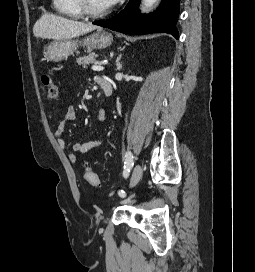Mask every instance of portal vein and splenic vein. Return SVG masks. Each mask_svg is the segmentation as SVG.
Wrapping results in <instances>:
<instances>
[{
  "mask_svg": "<svg viewBox=\"0 0 255 272\" xmlns=\"http://www.w3.org/2000/svg\"><path fill=\"white\" fill-rule=\"evenodd\" d=\"M102 65H103V63L95 64L92 66V70L93 71H102V70H104V67Z\"/></svg>",
  "mask_w": 255,
  "mask_h": 272,
  "instance_id": "portal-vein-and-splenic-vein-1",
  "label": "portal vein and splenic vein"
}]
</instances>
